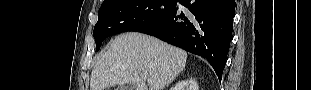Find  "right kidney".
<instances>
[{
	"label": "right kidney",
	"instance_id": "1",
	"mask_svg": "<svg viewBox=\"0 0 311 90\" xmlns=\"http://www.w3.org/2000/svg\"><path fill=\"white\" fill-rule=\"evenodd\" d=\"M175 90H199V87L195 80L190 79L178 83Z\"/></svg>",
	"mask_w": 311,
	"mask_h": 90
}]
</instances>
